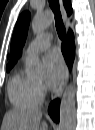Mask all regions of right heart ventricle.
Here are the masks:
<instances>
[{
	"mask_svg": "<svg viewBox=\"0 0 95 130\" xmlns=\"http://www.w3.org/2000/svg\"><path fill=\"white\" fill-rule=\"evenodd\" d=\"M8 95L11 103L19 109L37 108L42 102L37 82L17 71L10 79Z\"/></svg>",
	"mask_w": 95,
	"mask_h": 130,
	"instance_id": "e07e8e85",
	"label": "right heart ventricle"
}]
</instances>
